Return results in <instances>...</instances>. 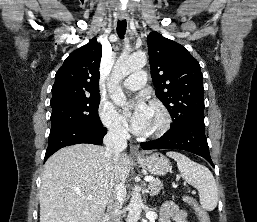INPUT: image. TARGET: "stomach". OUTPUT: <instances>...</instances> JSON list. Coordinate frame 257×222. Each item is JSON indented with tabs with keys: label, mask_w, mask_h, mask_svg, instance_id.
Instances as JSON below:
<instances>
[{
	"label": "stomach",
	"mask_w": 257,
	"mask_h": 222,
	"mask_svg": "<svg viewBox=\"0 0 257 222\" xmlns=\"http://www.w3.org/2000/svg\"><path fill=\"white\" fill-rule=\"evenodd\" d=\"M135 161L143 169L156 176L165 175L171 168L169 160L161 153H154L141 159H135Z\"/></svg>",
	"instance_id": "obj_1"
}]
</instances>
